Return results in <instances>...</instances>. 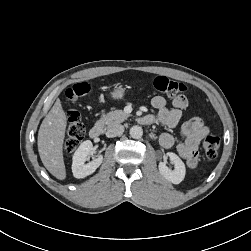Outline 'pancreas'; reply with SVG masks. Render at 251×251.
Listing matches in <instances>:
<instances>
[{"label": "pancreas", "instance_id": "obj_1", "mask_svg": "<svg viewBox=\"0 0 251 251\" xmlns=\"http://www.w3.org/2000/svg\"><path fill=\"white\" fill-rule=\"evenodd\" d=\"M128 117L129 114L125 113L123 110L114 109L113 111L103 115V117L97 121V125L104 129L111 128L122 123Z\"/></svg>", "mask_w": 251, "mask_h": 251}]
</instances>
